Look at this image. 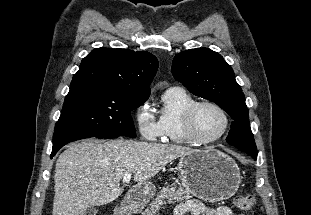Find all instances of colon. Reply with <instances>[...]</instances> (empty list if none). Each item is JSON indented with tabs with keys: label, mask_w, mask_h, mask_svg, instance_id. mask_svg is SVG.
Returning <instances> with one entry per match:
<instances>
[{
	"label": "colon",
	"mask_w": 311,
	"mask_h": 215,
	"mask_svg": "<svg viewBox=\"0 0 311 215\" xmlns=\"http://www.w3.org/2000/svg\"><path fill=\"white\" fill-rule=\"evenodd\" d=\"M233 204L241 212V215H248L255 208L256 199L252 195H237L233 199Z\"/></svg>",
	"instance_id": "1"
}]
</instances>
